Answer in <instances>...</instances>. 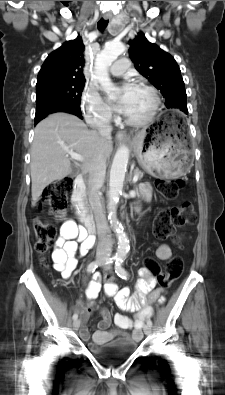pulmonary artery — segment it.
I'll return each mask as SVG.
<instances>
[{"mask_svg":"<svg viewBox=\"0 0 225 395\" xmlns=\"http://www.w3.org/2000/svg\"><path fill=\"white\" fill-rule=\"evenodd\" d=\"M129 60L127 58H120L110 67L109 71L114 76L124 74L129 68Z\"/></svg>","mask_w":225,"mask_h":395,"instance_id":"e3ab8cb5","label":"pulmonary artery"}]
</instances>
